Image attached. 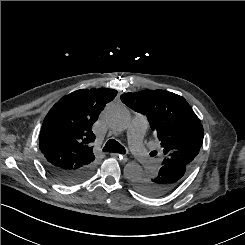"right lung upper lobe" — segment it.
Here are the masks:
<instances>
[{"label": "right lung upper lobe", "instance_id": "obj_1", "mask_svg": "<svg viewBox=\"0 0 245 245\" xmlns=\"http://www.w3.org/2000/svg\"><path fill=\"white\" fill-rule=\"evenodd\" d=\"M114 89H80L61 98L46 115L39 136L44 162L63 170H79L93 164L92 125Z\"/></svg>", "mask_w": 245, "mask_h": 245}]
</instances>
